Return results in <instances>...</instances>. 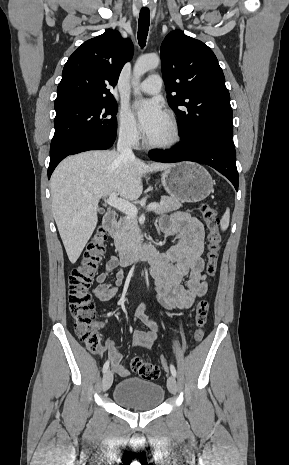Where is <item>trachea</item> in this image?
Wrapping results in <instances>:
<instances>
[{
  "label": "trachea",
  "instance_id": "1",
  "mask_svg": "<svg viewBox=\"0 0 289 465\" xmlns=\"http://www.w3.org/2000/svg\"><path fill=\"white\" fill-rule=\"evenodd\" d=\"M150 23V11L148 9H142L139 14L138 21V41L141 47L146 44V39L149 30Z\"/></svg>",
  "mask_w": 289,
  "mask_h": 465
}]
</instances>
